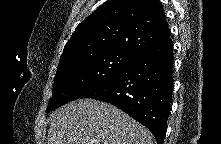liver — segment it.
Here are the masks:
<instances>
[{
  "instance_id": "1",
  "label": "liver",
  "mask_w": 221,
  "mask_h": 144,
  "mask_svg": "<svg viewBox=\"0 0 221 144\" xmlns=\"http://www.w3.org/2000/svg\"><path fill=\"white\" fill-rule=\"evenodd\" d=\"M48 144H153L151 133L117 107L78 99L50 115Z\"/></svg>"
}]
</instances>
